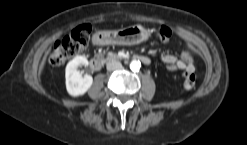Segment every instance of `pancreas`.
Here are the masks:
<instances>
[{
    "label": "pancreas",
    "instance_id": "cf45deb5",
    "mask_svg": "<svg viewBox=\"0 0 247 145\" xmlns=\"http://www.w3.org/2000/svg\"><path fill=\"white\" fill-rule=\"evenodd\" d=\"M118 56L114 53H109L108 57L106 58V61H109L110 59H117Z\"/></svg>",
    "mask_w": 247,
    "mask_h": 145
}]
</instances>
